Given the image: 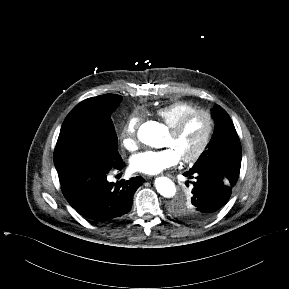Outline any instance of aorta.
I'll use <instances>...</instances> for the list:
<instances>
[{"mask_svg": "<svg viewBox=\"0 0 289 289\" xmlns=\"http://www.w3.org/2000/svg\"><path fill=\"white\" fill-rule=\"evenodd\" d=\"M166 134L165 127L155 121L143 124L138 131L139 140L151 147L160 148L162 139ZM155 187L160 195L165 198H173L176 196V186L173 181L167 177H159L155 180ZM184 200L185 197H183Z\"/></svg>", "mask_w": 289, "mask_h": 289, "instance_id": "obj_1", "label": "aorta"}]
</instances>
